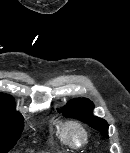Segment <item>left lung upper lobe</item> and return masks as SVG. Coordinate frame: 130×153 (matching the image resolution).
<instances>
[{
	"instance_id": "left-lung-upper-lobe-1",
	"label": "left lung upper lobe",
	"mask_w": 130,
	"mask_h": 153,
	"mask_svg": "<svg viewBox=\"0 0 130 153\" xmlns=\"http://www.w3.org/2000/svg\"><path fill=\"white\" fill-rule=\"evenodd\" d=\"M93 108L94 105L90 100L79 98L69 101L61 112L65 117L78 119L88 124L108 138V124L105 120L92 115Z\"/></svg>"
}]
</instances>
